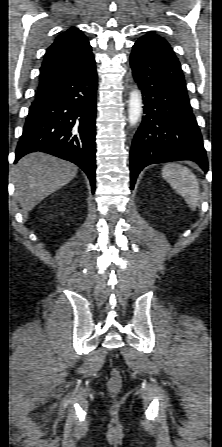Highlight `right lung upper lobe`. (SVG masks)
<instances>
[{
  "instance_id": "cb5924a9",
  "label": "right lung upper lobe",
  "mask_w": 222,
  "mask_h": 447,
  "mask_svg": "<svg viewBox=\"0 0 222 447\" xmlns=\"http://www.w3.org/2000/svg\"><path fill=\"white\" fill-rule=\"evenodd\" d=\"M92 59L89 41L78 28L72 27L60 34L46 50L37 97L69 80Z\"/></svg>"
}]
</instances>
